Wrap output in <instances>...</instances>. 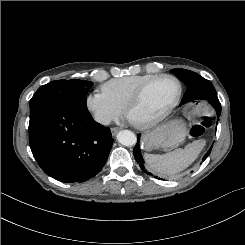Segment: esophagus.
<instances>
[{
    "instance_id": "34e87169",
    "label": "esophagus",
    "mask_w": 245,
    "mask_h": 245,
    "mask_svg": "<svg viewBox=\"0 0 245 245\" xmlns=\"http://www.w3.org/2000/svg\"><path fill=\"white\" fill-rule=\"evenodd\" d=\"M119 130H120V129L117 128V127L111 128V133H112V135H116V133H117Z\"/></svg>"
}]
</instances>
